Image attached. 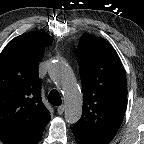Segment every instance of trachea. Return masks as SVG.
<instances>
[{"instance_id":"obj_1","label":"trachea","mask_w":144,"mask_h":144,"mask_svg":"<svg viewBox=\"0 0 144 144\" xmlns=\"http://www.w3.org/2000/svg\"><path fill=\"white\" fill-rule=\"evenodd\" d=\"M48 101L54 105L59 106L61 104V97L57 90H52L48 95Z\"/></svg>"}]
</instances>
